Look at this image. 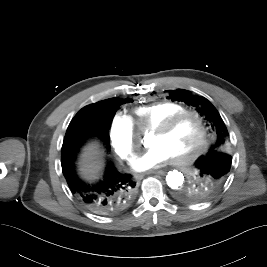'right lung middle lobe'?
I'll return each instance as SVG.
<instances>
[{
    "label": "right lung middle lobe",
    "mask_w": 267,
    "mask_h": 267,
    "mask_svg": "<svg viewBox=\"0 0 267 267\" xmlns=\"http://www.w3.org/2000/svg\"><path fill=\"white\" fill-rule=\"evenodd\" d=\"M126 103V101L118 100V99H110L109 101L102 104L101 111L108 117L113 119L116 111L120 107L121 104ZM112 121V120H111ZM104 144L107 148H109L110 138L108 134V130L104 132L103 137Z\"/></svg>",
    "instance_id": "dd1d6c3e"
}]
</instances>
